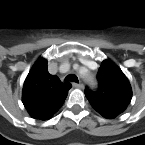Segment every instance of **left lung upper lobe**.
<instances>
[{"label":"left lung upper lobe","instance_id":"5c2ea615","mask_svg":"<svg viewBox=\"0 0 145 145\" xmlns=\"http://www.w3.org/2000/svg\"><path fill=\"white\" fill-rule=\"evenodd\" d=\"M99 88L96 92L85 90L91 106L107 119L121 114L129 105L132 89L124 73L113 62L105 60L98 70Z\"/></svg>","mask_w":145,"mask_h":145}]
</instances>
